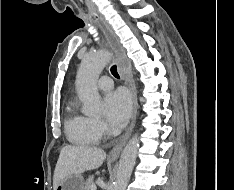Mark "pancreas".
<instances>
[{
  "instance_id": "1",
  "label": "pancreas",
  "mask_w": 234,
  "mask_h": 190,
  "mask_svg": "<svg viewBox=\"0 0 234 190\" xmlns=\"http://www.w3.org/2000/svg\"><path fill=\"white\" fill-rule=\"evenodd\" d=\"M95 185L94 184V177L93 176H89L86 183H85V187L84 190H91V187Z\"/></svg>"
}]
</instances>
